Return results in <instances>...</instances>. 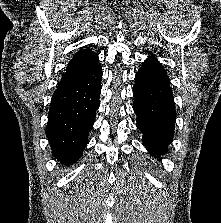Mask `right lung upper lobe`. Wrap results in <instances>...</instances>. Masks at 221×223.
<instances>
[{
	"label": "right lung upper lobe",
	"instance_id": "1",
	"mask_svg": "<svg viewBox=\"0 0 221 223\" xmlns=\"http://www.w3.org/2000/svg\"><path fill=\"white\" fill-rule=\"evenodd\" d=\"M99 65L98 56L89 48L78 51L69 61L59 85L76 80Z\"/></svg>",
	"mask_w": 221,
	"mask_h": 223
}]
</instances>
